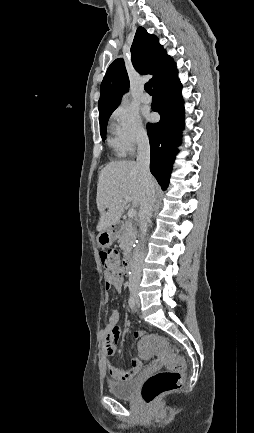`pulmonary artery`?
Instances as JSON below:
<instances>
[{
  "label": "pulmonary artery",
  "mask_w": 254,
  "mask_h": 433,
  "mask_svg": "<svg viewBox=\"0 0 254 433\" xmlns=\"http://www.w3.org/2000/svg\"><path fill=\"white\" fill-rule=\"evenodd\" d=\"M142 102L144 103V104H148V103H150L151 102V98H150V96L147 94V93H144L143 95H142Z\"/></svg>",
  "instance_id": "pulmonary-artery-1"
}]
</instances>
